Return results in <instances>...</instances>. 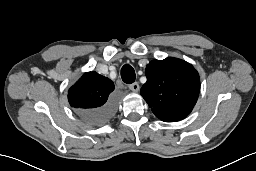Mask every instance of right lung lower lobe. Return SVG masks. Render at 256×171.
<instances>
[{
    "label": "right lung lower lobe",
    "mask_w": 256,
    "mask_h": 171,
    "mask_svg": "<svg viewBox=\"0 0 256 171\" xmlns=\"http://www.w3.org/2000/svg\"><path fill=\"white\" fill-rule=\"evenodd\" d=\"M116 109V102L112 98L103 107L86 113L83 118L90 124H102L108 121L114 114Z\"/></svg>",
    "instance_id": "1"
}]
</instances>
